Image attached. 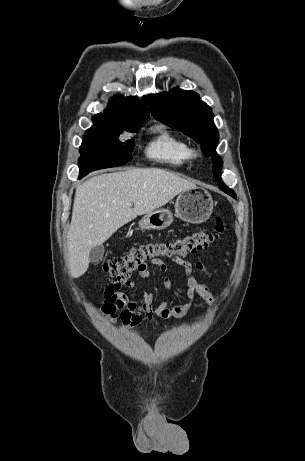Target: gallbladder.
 I'll list each match as a JSON object with an SVG mask.
<instances>
[{"label":"gallbladder","instance_id":"obj_1","mask_svg":"<svg viewBox=\"0 0 305 461\" xmlns=\"http://www.w3.org/2000/svg\"><path fill=\"white\" fill-rule=\"evenodd\" d=\"M105 248L103 245L96 246L91 249L89 253V260L90 262H98L99 260L102 259L104 255Z\"/></svg>","mask_w":305,"mask_h":461}]
</instances>
